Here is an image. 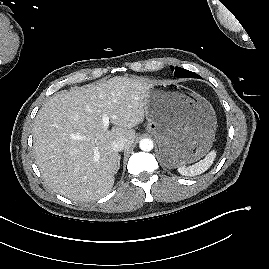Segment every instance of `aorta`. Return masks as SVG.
Here are the masks:
<instances>
[{
	"mask_svg": "<svg viewBox=\"0 0 269 269\" xmlns=\"http://www.w3.org/2000/svg\"><path fill=\"white\" fill-rule=\"evenodd\" d=\"M140 149L142 151H151L153 149V142L151 139H142L139 143Z\"/></svg>",
	"mask_w": 269,
	"mask_h": 269,
	"instance_id": "obj_1",
	"label": "aorta"
}]
</instances>
